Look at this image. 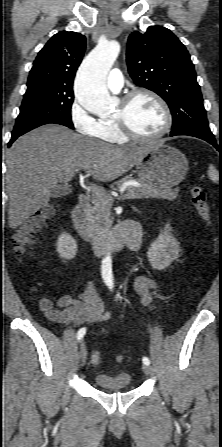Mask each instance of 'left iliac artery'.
I'll list each match as a JSON object with an SVG mask.
<instances>
[{
	"label": "left iliac artery",
	"instance_id": "left-iliac-artery-1",
	"mask_svg": "<svg viewBox=\"0 0 222 447\" xmlns=\"http://www.w3.org/2000/svg\"><path fill=\"white\" fill-rule=\"evenodd\" d=\"M142 361H143L144 364H147V365L150 364V360L147 357H143Z\"/></svg>",
	"mask_w": 222,
	"mask_h": 447
}]
</instances>
